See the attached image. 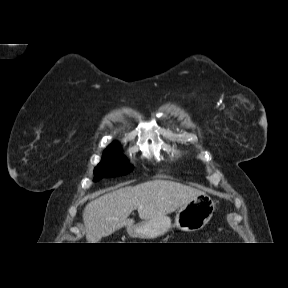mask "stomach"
Returning <instances> with one entry per match:
<instances>
[{
  "mask_svg": "<svg viewBox=\"0 0 288 288\" xmlns=\"http://www.w3.org/2000/svg\"><path fill=\"white\" fill-rule=\"evenodd\" d=\"M215 208L211 197L201 192L179 209L174 224L169 217L162 216L127 227V232L134 238L155 239L173 227L187 232L200 230L210 221Z\"/></svg>",
  "mask_w": 288,
  "mask_h": 288,
  "instance_id": "stomach-1",
  "label": "stomach"
}]
</instances>
